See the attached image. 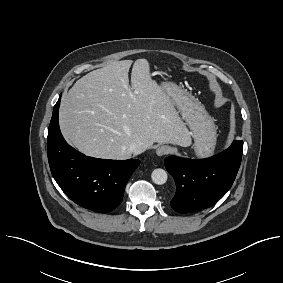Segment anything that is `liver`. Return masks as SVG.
<instances>
[{
    "instance_id": "1",
    "label": "liver",
    "mask_w": 283,
    "mask_h": 283,
    "mask_svg": "<svg viewBox=\"0 0 283 283\" xmlns=\"http://www.w3.org/2000/svg\"><path fill=\"white\" fill-rule=\"evenodd\" d=\"M115 61L94 70L64 94L59 123L64 138L85 155L129 159V145L149 149L153 143L192 144L165 89L152 80L149 62ZM132 93V96H131Z\"/></svg>"
}]
</instances>
